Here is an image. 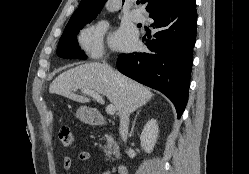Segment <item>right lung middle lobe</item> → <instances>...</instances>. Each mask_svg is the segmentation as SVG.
<instances>
[{
	"instance_id": "right-lung-middle-lobe-1",
	"label": "right lung middle lobe",
	"mask_w": 249,
	"mask_h": 174,
	"mask_svg": "<svg viewBox=\"0 0 249 174\" xmlns=\"http://www.w3.org/2000/svg\"><path fill=\"white\" fill-rule=\"evenodd\" d=\"M91 20L69 23L66 25L57 47V55L66 59H86L87 56L80 50L77 35Z\"/></svg>"
}]
</instances>
